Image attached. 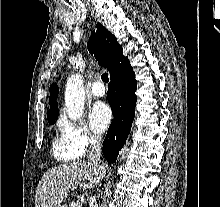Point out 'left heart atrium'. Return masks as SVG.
Listing matches in <instances>:
<instances>
[{
	"label": "left heart atrium",
	"instance_id": "left-heart-atrium-1",
	"mask_svg": "<svg viewBox=\"0 0 220 207\" xmlns=\"http://www.w3.org/2000/svg\"><path fill=\"white\" fill-rule=\"evenodd\" d=\"M111 118L110 108L104 103H97L89 115L90 127L96 133H103L108 128Z\"/></svg>",
	"mask_w": 220,
	"mask_h": 207
}]
</instances>
